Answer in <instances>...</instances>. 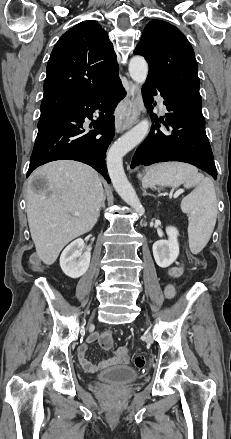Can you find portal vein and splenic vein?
<instances>
[{"mask_svg": "<svg viewBox=\"0 0 231 439\" xmlns=\"http://www.w3.org/2000/svg\"><path fill=\"white\" fill-rule=\"evenodd\" d=\"M180 193H181V191H178V192H177V194H180ZM76 214H77V213H76Z\"/></svg>", "mask_w": 231, "mask_h": 439, "instance_id": "1", "label": "portal vein and splenic vein"}]
</instances>
